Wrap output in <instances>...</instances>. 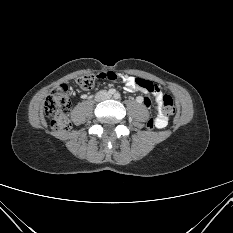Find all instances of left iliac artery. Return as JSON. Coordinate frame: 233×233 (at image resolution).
I'll use <instances>...</instances> for the list:
<instances>
[{"label": "left iliac artery", "instance_id": "left-iliac-artery-1", "mask_svg": "<svg viewBox=\"0 0 233 233\" xmlns=\"http://www.w3.org/2000/svg\"><path fill=\"white\" fill-rule=\"evenodd\" d=\"M114 97H115V99H119V98H120V94H119V93H116V94L114 95Z\"/></svg>", "mask_w": 233, "mask_h": 233}]
</instances>
